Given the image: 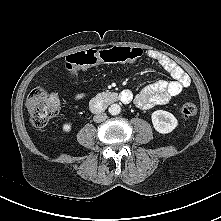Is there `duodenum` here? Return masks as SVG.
<instances>
[{
  "label": "duodenum",
  "mask_w": 221,
  "mask_h": 221,
  "mask_svg": "<svg viewBox=\"0 0 221 221\" xmlns=\"http://www.w3.org/2000/svg\"><path fill=\"white\" fill-rule=\"evenodd\" d=\"M131 97L129 94L117 92H105L91 102V110L94 113H101L107 106L115 102L129 103Z\"/></svg>",
  "instance_id": "410a0bca"
}]
</instances>
